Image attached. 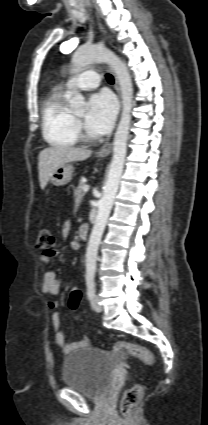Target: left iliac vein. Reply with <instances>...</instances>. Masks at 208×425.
Returning a JSON list of instances; mask_svg holds the SVG:
<instances>
[{"label":"left iliac vein","instance_id":"1","mask_svg":"<svg viewBox=\"0 0 208 425\" xmlns=\"http://www.w3.org/2000/svg\"><path fill=\"white\" fill-rule=\"evenodd\" d=\"M91 306H92L93 310L96 311V312L102 311V306L99 304V297L98 296H94L92 298Z\"/></svg>","mask_w":208,"mask_h":425}]
</instances>
